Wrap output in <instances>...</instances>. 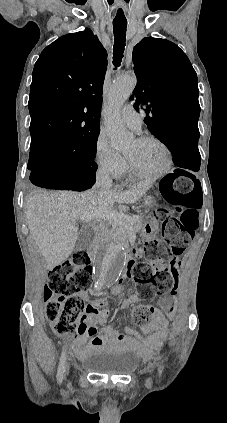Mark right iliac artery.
Instances as JSON below:
<instances>
[{
	"label": "right iliac artery",
	"instance_id": "1",
	"mask_svg": "<svg viewBox=\"0 0 227 423\" xmlns=\"http://www.w3.org/2000/svg\"><path fill=\"white\" fill-rule=\"evenodd\" d=\"M65 363H66V353L65 351H63L60 357V362H59V366L57 370V381L59 384H61L63 381L64 372H65Z\"/></svg>",
	"mask_w": 227,
	"mask_h": 423
}]
</instances>
